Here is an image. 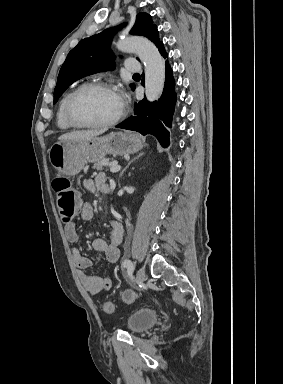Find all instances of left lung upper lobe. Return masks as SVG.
I'll use <instances>...</instances> for the list:
<instances>
[{"label": "left lung upper lobe", "instance_id": "obj_1", "mask_svg": "<svg viewBox=\"0 0 283 384\" xmlns=\"http://www.w3.org/2000/svg\"><path fill=\"white\" fill-rule=\"evenodd\" d=\"M124 26L125 24H122L85 38L69 52L58 75L57 85L54 90V103L78 79L93 73L114 69L115 57L110 50V44L115 31ZM130 33L147 37L157 47L162 43L159 40L157 27L153 24L151 16L144 12L137 15L136 22ZM131 87L132 89L135 88L133 84Z\"/></svg>", "mask_w": 283, "mask_h": 384}]
</instances>
